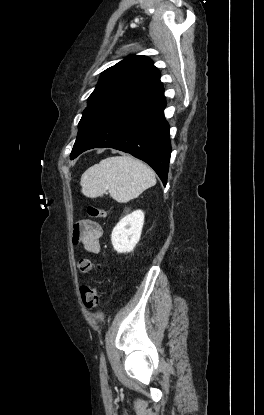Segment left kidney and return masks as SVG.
<instances>
[{"instance_id":"obj_1","label":"left kidney","mask_w":264,"mask_h":415,"mask_svg":"<svg viewBox=\"0 0 264 415\" xmlns=\"http://www.w3.org/2000/svg\"><path fill=\"white\" fill-rule=\"evenodd\" d=\"M144 224V212L136 210L123 217L114 227L111 242L118 253L133 251L140 240Z\"/></svg>"}]
</instances>
